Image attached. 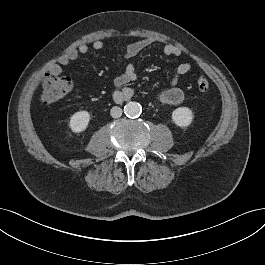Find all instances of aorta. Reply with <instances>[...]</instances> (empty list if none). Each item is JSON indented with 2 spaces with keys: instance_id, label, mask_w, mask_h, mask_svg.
<instances>
[{
  "instance_id": "obj_1",
  "label": "aorta",
  "mask_w": 265,
  "mask_h": 265,
  "mask_svg": "<svg viewBox=\"0 0 265 265\" xmlns=\"http://www.w3.org/2000/svg\"><path fill=\"white\" fill-rule=\"evenodd\" d=\"M124 112H125L127 117L135 118L141 114L142 107L137 102H129L125 105Z\"/></svg>"
}]
</instances>
